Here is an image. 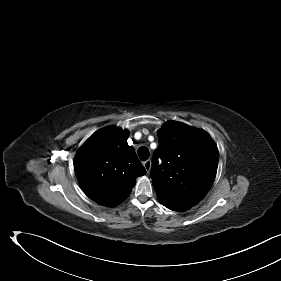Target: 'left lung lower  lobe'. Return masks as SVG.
I'll return each instance as SVG.
<instances>
[{"mask_svg":"<svg viewBox=\"0 0 281 281\" xmlns=\"http://www.w3.org/2000/svg\"><path fill=\"white\" fill-rule=\"evenodd\" d=\"M171 210L173 211H184V210H187L189 208H185L183 206H176V207H173V208H170Z\"/></svg>","mask_w":281,"mask_h":281,"instance_id":"left-lung-lower-lobe-1","label":"left lung lower lobe"}]
</instances>
